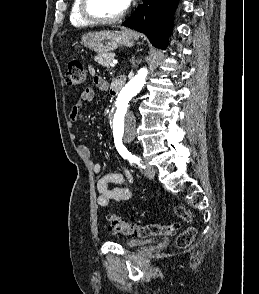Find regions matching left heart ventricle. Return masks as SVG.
Returning <instances> with one entry per match:
<instances>
[{
  "label": "left heart ventricle",
  "instance_id": "1",
  "mask_svg": "<svg viewBox=\"0 0 259 294\" xmlns=\"http://www.w3.org/2000/svg\"><path fill=\"white\" fill-rule=\"evenodd\" d=\"M122 0H90V12L101 18L117 16L124 10Z\"/></svg>",
  "mask_w": 259,
  "mask_h": 294
}]
</instances>
